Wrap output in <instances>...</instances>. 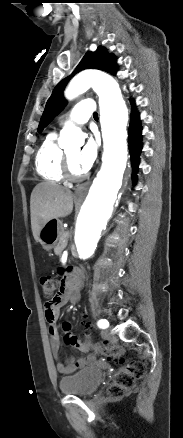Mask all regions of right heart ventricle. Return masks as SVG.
<instances>
[{
  "label": "right heart ventricle",
  "mask_w": 183,
  "mask_h": 438,
  "mask_svg": "<svg viewBox=\"0 0 183 438\" xmlns=\"http://www.w3.org/2000/svg\"><path fill=\"white\" fill-rule=\"evenodd\" d=\"M63 155V150L56 142V135H48L36 155L38 174L50 182L59 183L64 181L62 172Z\"/></svg>",
  "instance_id": "1"
}]
</instances>
